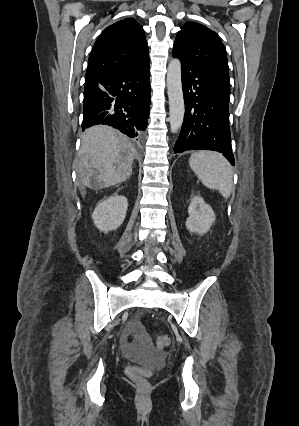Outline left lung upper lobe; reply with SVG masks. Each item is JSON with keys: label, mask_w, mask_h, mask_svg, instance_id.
<instances>
[{"label": "left lung upper lobe", "mask_w": 299, "mask_h": 426, "mask_svg": "<svg viewBox=\"0 0 299 426\" xmlns=\"http://www.w3.org/2000/svg\"><path fill=\"white\" fill-rule=\"evenodd\" d=\"M173 51L230 92L226 49L214 31L188 21L178 32Z\"/></svg>", "instance_id": "5c2ea615"}]
</instances>
